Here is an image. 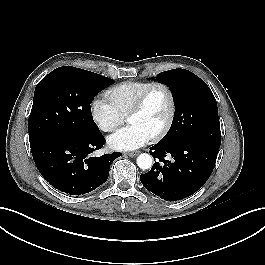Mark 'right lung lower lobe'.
Returning a JSON list of instances; mask_svg holds the SVG:
<instances>
[{"label":"right lung lower lobe","instance_id":"right-lung-lower-lobe-1","mask_svg":"<svg viewBox=\"0 0 265 265\" xmlns=\"http://www.w3.org/2000/svg\"><path fill=\"white\" fill-rule=\"evenodd\" d=\"M101 132L90 136H60L30 143L35 164L42 176L56 189L81 195L102 185L109 176L111 162L121 153L91 157L102 148Z\"/></svg>","mask_w":265,"mask_h":265}]
</instances>
